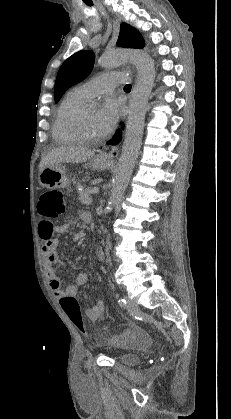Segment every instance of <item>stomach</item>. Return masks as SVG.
<instances>
[{
	"mask_svg": "<svg viewBox=\"0 0 231 419\" xmlns=\"http://www.w3.org/2000/svg\"><path fill=\"white\" fill-rule=\"evenodd\" d=\"M113 161L106 158L103 154H98L89 162V166L93 169L106 170L109 169ZM39 183L47 189L67 188L70 180L66 176L65 169L60 164L48 166L39 172Z\"/></svg>",
	"mask_w": 231,
	"mask_h": 419,
	"instance_id": "0dacf381",
	"label": "stomach"
}]
</instances>
